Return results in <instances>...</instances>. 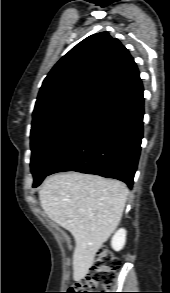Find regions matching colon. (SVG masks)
<instances>
[{
  "label": "colon",
  "instance_id": "colon-1",
  "mask_svg": "<svg viewBox=\"0 0 170 293\" xmlns=\"http://www.w3.org/2000/svg\"><path fill=\"white\" fill-rule=\"evenodd\" d=\"M117 265L118 261L111 250L101 248L87 275L70 289L71 293H106L105 291L115 280Z\"/></svg>",
  "mask_w": 170,
  "mask_h": 293
}]
</instances>
